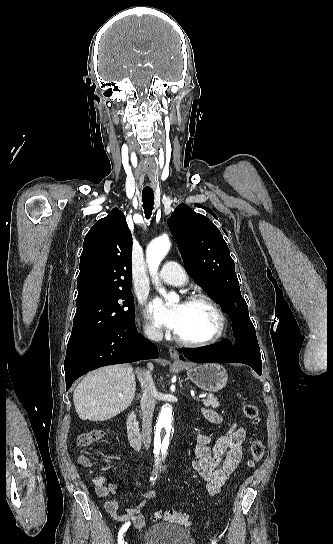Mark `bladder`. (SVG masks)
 <instances>
[{
	"label": "bladder",
	"instance_id": "31cf9c89",
	"mask_svg": "<svg viewBox=\"0 0 333 544\" xmlns=\"http://www.w3.org/2000/svg\"><path fill=\"white\" fill-rule=\"evenodd\" d=\"M141 544H193V539L186 528L170 523H158L145 530Z\"/></svg>",
	"mask_w": 333,
	"mask_h": 544
}]
</instances>
